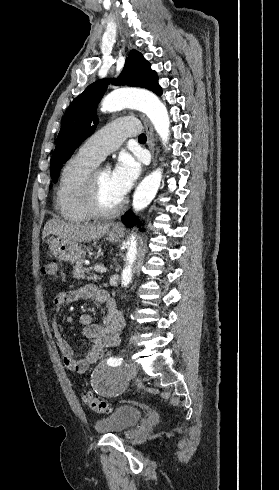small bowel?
I'll list each match as a JSON object with an SVG mask.
<instances>
[{
    "label": "small bowel",
    "instance_id": "c3829d8e",
    "mask_svg": "<svg viewBox=\"0 0 279 490\" xmlns=\"http://www.w3.org/2000/svg\"><path fill=\"white\" fill-rule=\"evenodd\" d=\"M82 300H93L105 307L101 323H95L94 317L88 313H82L78 317L79 324L83 327V336L91 341L90 349L84 357L76 360L74 349L65 339L57 322V315L67 304ZM50 316L51 329L57 347L62 354V360L67 369L77 373H85L90 365L99 361L107 349L116 348L120 343V334L124 327L121 312L117 309L115 301L108 292L94 285H83L79 288L58 293L52 302Z\"/></svg>",
    "mask_w": 279,
    "mask_h": 490
}]
</instances>
